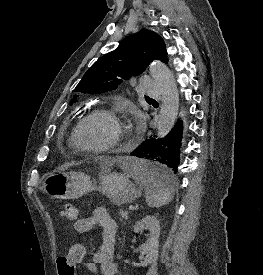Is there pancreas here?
<instances>
[{
  "instance_id": "1",
  "label": "pancreas",
  "mask_w": 263,
  "mask_h": 275,
  "mask_svg": "<svg viewBox=\"0 0 263 275\" xmlns=\"http://www.w3.org/2000/svg\"><path fill=\"white\" fill-rule=\"evenodd\" d=\"M120 215L124 220L128 219V212L127 211L120 210Z\"/></svg>"
}]
</instances>
